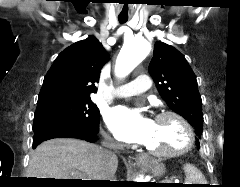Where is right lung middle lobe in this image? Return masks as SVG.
<instances>
[{
	"label": "right lung middle lobe",
	"instance_id": "obj_1",
	"mask_svg": "<svg viewBox=\"0 0 240 187\" xmlns=\"http://www.w3.org/2000/svg\"><path fill=\"white\" fill-rule=\"evenodd\" d=\"M99 109L86 99H62L37 105L33 130L50 124H62L77 129L99 125Z\"/></svg>",
	"mask_w": 240,
	"mask_h": 187
}]
</instances>
